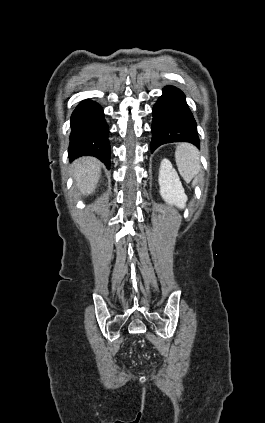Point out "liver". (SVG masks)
Instances as JSON below:
<instances>
[{"mask_svg": "<svg viewBox=\"0 0 265 423\" xmlns=\"http://www.w3.org/2000/svg\"><path fill=\"white\" fill-rule=\"evenodd\" d=\"M100 166V161L93 157H83L74 163V178L84 195L94 192L101 174Z\"/></svg>", "mask_w": 265, "mask_h": 423, "instance_id": "obj_1", "label": "liver"}]
</instances>
